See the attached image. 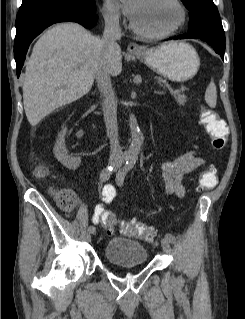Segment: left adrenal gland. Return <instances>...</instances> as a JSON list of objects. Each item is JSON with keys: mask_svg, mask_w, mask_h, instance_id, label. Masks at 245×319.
<instances>
[{"mask_svg": "<svg viewBox=\"0 0 245 319\" xmlns=\"http://www.w3.org/2000/svg\"><path fill=\"white\" fill-rule=\"evenodd\" d=\"M155 93H157V94H162V92L161 91H154Z\"/></svg>", "mask_w": 245, "mask_h": 319, "instance_id": "1", "label": "left adrenal gland"}]
</instances>
